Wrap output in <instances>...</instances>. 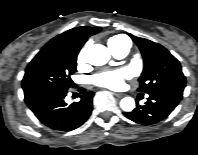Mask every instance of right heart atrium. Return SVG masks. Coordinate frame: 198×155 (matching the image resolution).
Listing matches in <instances>:
<instances>
[{
	"mask_svg": "<svg viewBox=\"0 0 198 155\" xmlns=\"http://www.w3.org/2000/svg\"><path fill=\"white\" fill-rule=\"evenodd\" d=\"M86 59V48L81 49L77 56V62L78 64H82Z\"/></svg>",
	"mask_w": 198,
	"mask_h": 155,
	"instance_id": "right-heart-atrium-1",
	"label": "right heart atrium"
}]
</instances>
